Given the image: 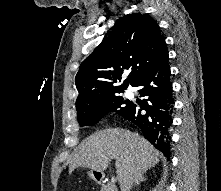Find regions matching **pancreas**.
Returning a JSON list of instances; mask_svg holds the SVG:
<instances>
[{
	"label": "pancreas",
	"mask_w": 221,
	"mask_h": 191,
	"mask_svg": "<svg viewBox=\"0 0 221 191\" xmlns=\"http://www.w3.org/2000/svg\"><path fill=\"white\" fill-rule=\"evenodd\" d=\"M100 191H117L116 186L112 184H102Z\"/></svg>",
	"instance_id": "cf45deb5"
}]
</instances>
